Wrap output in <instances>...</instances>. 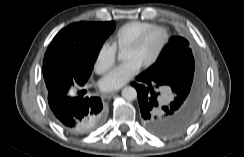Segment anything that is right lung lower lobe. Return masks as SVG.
<instances>
[{"mask_svg":"<svg viewBox=\"0 0 244 157\" xmlns=\"http://www.w3.org/2000/svg\"><path fill=\"white\" fill-rule=\"evenodd\" d=\"M84 83L67 85L48 96L49 106L60 126L74 134H83L95 129L103 120L105 109L99 97L86 96V90L71 96L70 87L81 88Z\"/></svg>","mask_w":244,"mask_h":157,"instance_id":"right-lung-lower-lobe-1","label":"right lung lower lobe"}]
</instances>
